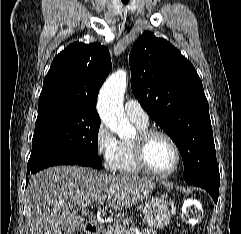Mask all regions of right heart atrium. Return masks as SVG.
Segmentation results:
<instances>
[{"label": "right heart atrium", "mask_w": 241, "mask_h": 234, "mask_svg": "<svg viewBox=\"0 0 241 234\" xmlns=\"http://www.w3.org/2000/svg\"><path fill=\"white\" fill-rule=\"evenodd\" d=\"M94 144L103 166L108 171H115L119 141L104 123H100L97 127Z\"/></svg>", "instance_id": "1"}]
</instances>
